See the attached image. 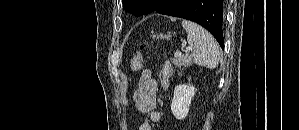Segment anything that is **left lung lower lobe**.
<instances>
[{
  "label": "left lung lower lobe",
  "mask_w": 299,
  "mask_h": 130,
  "mask_svg": "<svg viewBox=\"0 0 299 130\" xmlns=\"http://www.w3.org/2000/svg\"><path fill=\"white\" fill-rule=\"evenodd\" d=\"M146 9L144 14L155 10L160 14L180 17L200 24L224 49L223 0H154Z\"/></svg>",
  "instance_id": "0a47b994"
}]
</instances>
